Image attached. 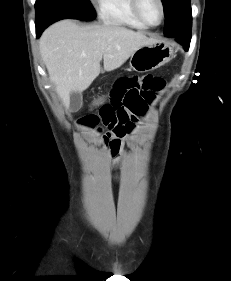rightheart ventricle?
<instances>
[{
  "label": "right heart ventricle",
  "mask_w": 231,
  "mask_h": 281,
  "mask_svg": "<svg viewBox=\"0 0 231 281\" xmlns=\"http://www.w3.org/2000/svg\"><path fill=\"white\" fill-rule=\"evenodd\" d=\"M97 10L100 19L106 24L147 29L136 16L132 0H97Z\"/></svg>",
  "instance_id": "obj_1"
}]
</instances>
